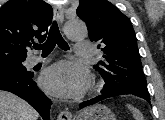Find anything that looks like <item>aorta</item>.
Wrapping results in <instances>:
<instances>
[{"label": "aorta", "instance_id": "762f6f07", "mask_svg": "<svg viewBox=\"0 0 165 120\" xmlns=\"http://www.w3.org/2000/svg\"><path fill=\"white\" fill-rule=\"evenodd\" d=\"M64 32L69 39H82L87 35V27L82 20L71 19L65 23Z\"/></svg>", "mask_w": 165, "mask_h": 120}]
</instances>
